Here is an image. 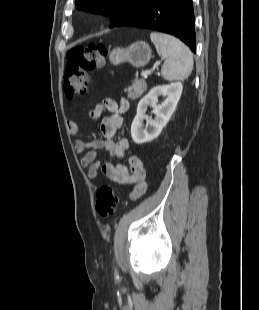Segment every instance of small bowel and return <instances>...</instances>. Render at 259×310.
Wrapping results in <instances>:
<instances>
[{"label":"small bowel","instance_id":"1","mask_svg":"<svg viewBox=\"0 0 259 310\" xmlns=\"http://www.w3.org/2000/svg\"><path fill=\"white\" fill-rule=\"evenodd\" d=\"M128 100L122 98L119 102L113 99H105L97 104L88 113L91 119L101 118L100 131L101 139H95L91 142H85L77 139L74 142V149L82 154L80 165L87 169L89 179H95L99 174H104L111 181L121 185L133 186L130 199H138L147 191L146 171L142 160L135 155L127 158L126 164H114L112 158L124 157L129 149V141L122 138L115 141L117 131L123 125V115L129 110ZM109 113L105 115V113ZM79 126L76 121L67 122V132L75 135ZM91 149V150H88ZM99 151H105L107 157L99 160L97 155Z\"/></svg>","mask_w":259,"mask_h":310}]
</instances>
